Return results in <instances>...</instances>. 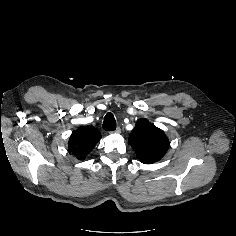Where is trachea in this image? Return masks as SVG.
<instances>
[{
	"label": "trachea",
	"mask_w": 236,
	"mask_h": 236,
	"mask_svg": "<svg viewBox=\"0 0 236 236\" xmlns=\"http://www.w3.org/2000/svg\"><path fill=\"white\" fill-rule=\"evenodd\" d=\"M102 127L105 131L116 130V120L112 113H107L105 115Z\"/></svg>",
	"instance_id": "trachea-1"
}]
</instances>
